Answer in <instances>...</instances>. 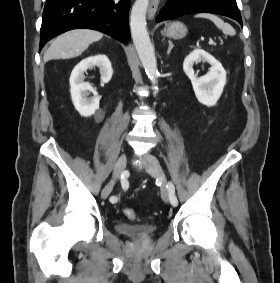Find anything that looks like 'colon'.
I'll list each match as a JSON object with an SVG mask.
<instances>
[{"mask_svg":"<svg viewBox=\"0 0 280 283\" xmlns=\"http://www.w3.org/2000/svg\"><path fill=\"white\" fill-rule=\"evenodd\" d=\"M124 214L127 218L131 219V220H134L137 218V214L136 212L133 210V209H130V208H126L124 210Z\"/></svg>","mask_w":280,"mask_h":283,"instance_id":"colon-1","label":"colon"}]
</instances>
